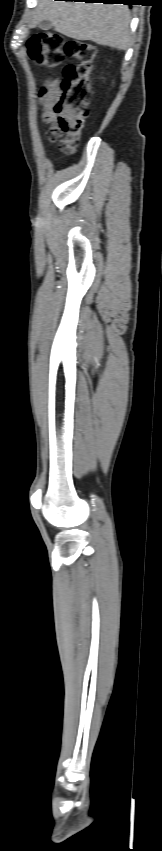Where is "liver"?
Here are the masks:
<instances>
[{
	"label": "liver",
	"mask_w": 162,
	"mask_h": 851,
	"mask_svg": "<svg viewBox=\"0 0 162 851\" xmlns=\"http://www.w3.org/2000/svg\"><path fill=\"white\" fill-rule=\"evenodd\" d=\"M48 20L59 33L81 41L127 50L131 43L127 6L39 0L30 28Z\"/></svg>",
	"instance_id": "liver-1"
}]
</instances>
